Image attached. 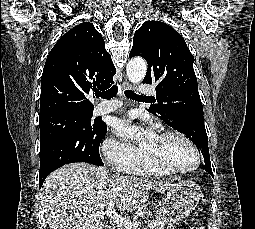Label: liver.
<instances>
[{
  "instance_id": "liver-1",
  "label": "liver",
  "mask_w": 255,
  "mask_h": 229,
  "mask_svg": "<svg viewBox=\"0 0 255 229\" xmlns=\"http://www.w3.org/2000/svg\"><path fill=\"white\" fill-rule=\"evenodd\" d=\"M168 188L167 183L110 176L105 167L79 162L52 172L41 188L40 199L50 229H105L97 212L107 210L109 203L132 213L147 201L150 190L163 194Z\"/></svg>"
}]
</instances>
